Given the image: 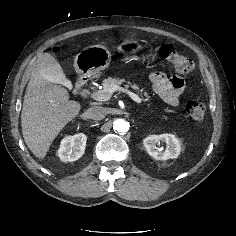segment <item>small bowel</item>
Listing matches in <instances>:
<instances>
[{"label":"small bowel","instance_id":"small-bowel-1","mask_svg":"<svg viewBox=\"0 0 236 236\" xmlns=\"http://www.w3.org/2000/svg\"><path fill=\"white\" fill-rule=\"evenodd\" d=\"M149 86L166 103L171 106L179 105V97L182 94L185 82L177 76L169 77L163 72H153L149 76Z\"/></svg>","mask_w":236,"mask_h":236}]
</instances>
